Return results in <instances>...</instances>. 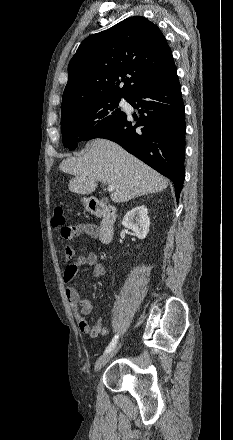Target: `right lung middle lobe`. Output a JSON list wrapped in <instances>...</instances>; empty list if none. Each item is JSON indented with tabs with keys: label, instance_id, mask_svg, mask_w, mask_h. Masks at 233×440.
<instances>
[{
	"label": "right lung middle lobe",
	"instance_id": "obj_1",
	"mask_svg": "<svg viewBox=\"0 0 233 440\" xmlns=\"http://www.w3.org/2000/svg\"><path fill=\"white\" fill-rule=\"evenodd\" d=\"M121 98H95L61 109L62 141L74 150L78 142L100 137L118 123L125 113L118 108ZM128 101V99H127Z\"/></svg>",
	"mask_w": 233,
	"mask_h": 440
}]
</instances>
